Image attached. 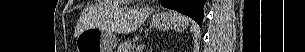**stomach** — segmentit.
Returning a JSON list of instances; mask_svg holds the SVG:
<instances>
[{
	"mask_svg": "<svg viewBox=\"0 0 305 52\" xmlns=\"http://www.w3.org/2000/svg\"><path fill=\"white\" fill-rule=\"evenodd\" d=\"M188 23L187 17L173 11L157 13L151 20L152 26L161 31H181ZM115 45L114 35L98 27L85 29L76 38L77 52H114Z\"/></svg>",
	"mask_w": 305,
	"mask_h": 52,
	"instance_id": "1",
	"label": "stomach"
}]
</instances>
